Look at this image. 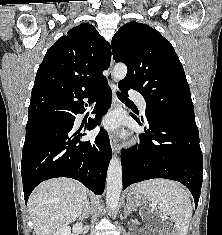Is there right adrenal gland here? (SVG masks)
<instances>
[{
    "instance_id": "1",
    "label": "right adrenal gland",
    "mask_w": 222,
    "mask_h": 235,
    "mask_svg": "<svg viewBox=\"0 0 222 235\" xmlns=\"http://www.w3.org/2000/svg\"><path fill=\"white\" fill-rule=\"evenodd\" d=\"M89 212H90V203H89V200H87L84 211H83L82 215L79 218L80 219L87 218L88 215H89Z\"/></svg>"
}]
</instances>
